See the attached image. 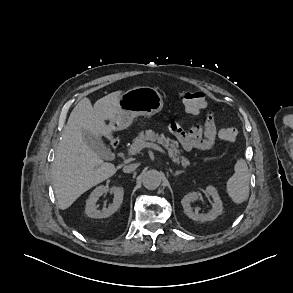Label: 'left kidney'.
I'll return each instance as SVG.
<instances>
[{"mask_svg": "<svg viewBox=\"0 0 293 293\" xmlns=\"http://www.w3.org/2000/svg\"><path fill=\"white\" fill-rule=\"evenodd\" d=\"M207 196L212 198V210L207 213H198V211H193L192 204L196 202L200 198V194L197 192L188 193L181 200L182 207L184 209V213L192 220L195 221H213L219 215L222 214L223 206L222 201L219 197V194L214 186H208L205 190Z\"/></svg>", "mask_w": 293, "mask_h": 293, "instance_id": "left-kidney-1", "label": "left kidney"}]
</instances>
